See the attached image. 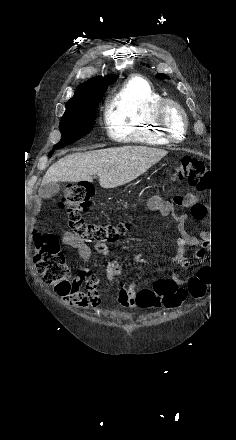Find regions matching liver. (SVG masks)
<instances>
[{
  "label": "liver",
  "mask_w": 236,
  "mask_h": 440,
  "mask_svg": "<svg viewBox=\"0 0 236 440\" xmlns=\"http://www.w3.org/2000/svg\"><path fill=\"white\" fill-rule=\"evenodd\" d=\"M167 151L143 146H123L66 155L49 167L42 185L57 182L92 181L99 177L102 188H116L133 181L160 161Z\"/></svg>",
  "instance_id": "obj_1"
}]
</instances>
